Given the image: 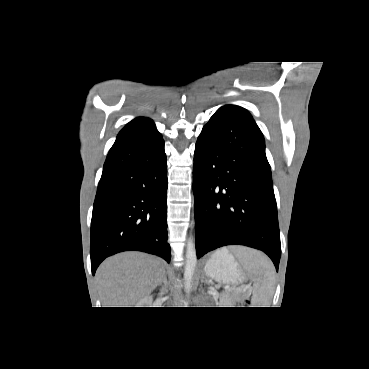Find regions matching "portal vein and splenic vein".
<instances>
[{
	"mask_svg": "<svg viewBox=\"0 0 369 369\" xmlns=\"http://www.w3.org/2000/svg\"><path fill=\"white\" fill-rule=\"evenodd\" d=\"M224 288H225V289H229V286H225Z\"/></svg>",
	"mask_w": 369,
	"mask_h": 369,
	"instance_id": "portal-vein-and-splenic-vein-1",
	"label": "portal vein and splenic vein"
}]
</instances>
